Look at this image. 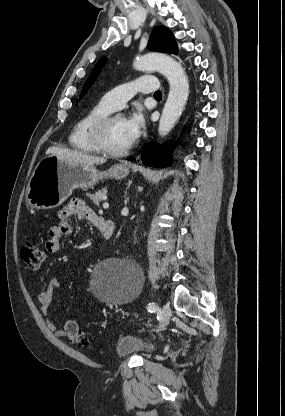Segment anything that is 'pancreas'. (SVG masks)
<instances>
[{
    "label": "pancreas",
    "mask_w": 285,
    "mask_h": 416,
    "mask_svg": "<svg viewBox=\"0 0 285 416\" xmlns=\"http://www.w3.org/2000/svg\"><path fill=\"white\" fill-rule=\"evenodd\" d=\"M107 190L106 188H103V190H98V192H95V194H86V196H89L92 204H95V206H99V202H102L103 196H106Z\"/></svg>",
    "instance_id": "1"
}]
</instances>
